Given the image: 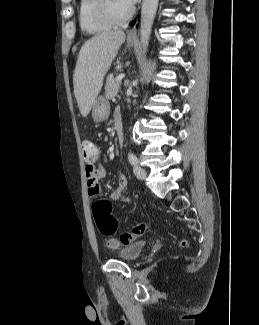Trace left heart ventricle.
Wrapping results in <instances>:
<instances>
[{"mask_svg": "<svg viewBox=\"0 0 259 325\" xmlns=\"http://www.w3.org/2000/svg\"><path fill=\"white\" fill-rule=\"evenodd\" d=\"M111 5L113 11L118 15L125 14L130 7L123 0H111Z\"/></svg>", "mask_w": 259, "mask_h": 325, "instance_id": "obj_1", "label": "left heart ventricle"}]
</instances>
